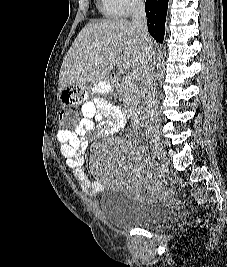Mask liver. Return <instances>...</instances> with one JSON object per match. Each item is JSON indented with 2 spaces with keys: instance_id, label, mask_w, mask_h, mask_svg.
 Listing matches in <instances>:
<instances>
[{
  "instance_id": "1",
  "label": "liver",
  "mask_w": 227,
  "mask_h": 267,
  "mask_svg": "<svg viewBox=\"0 0 227 267\" xmlns=\"http://www.w3.org/2000/svg\"><path fill=\"white\" fill-rule=\"evenodd\" d=\"M146 44L153 50V39ZM144 56L142 38L126 19L88 23L67 52L59 73L62 87L101 82L117 66L140 76Z\"/></svg>"
}]
</instances>
